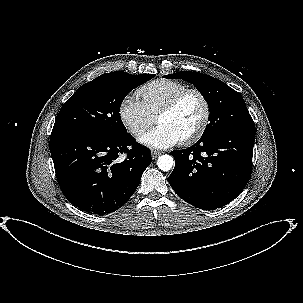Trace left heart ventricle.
I'll return each instance as SVG.
<instances>
[{
  "label": "left heart ventricle",
  "mask_w": 303,
  "mask_h": 303,
  "mask_svg": "<svg viewBox=\"0 0 303 303\" xmlns=\"http://www.w3.org/2000/svg\"><path fill=\"white\" fill-rule=\"evenodd\" d=\"M203 106L198 96H187L171 113L159 118L158 123L168 126L180 139L191 134L200 124Z\"/></svg>",
  "instance_id": "obj_1"
}]
</instances>
